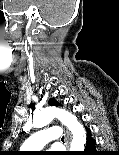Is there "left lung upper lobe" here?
<instances>
[{
  "mask_svg": "<svg viewBox=\"0 0 119 155\" xmlns=\"http://www.w3.org/2000/svg\"><path fill=\"white\" fill-rule=\"evenodd\" d=\"M50 105H58V103L56 102L55 99H50L49 102H48Z\"/></svg>",
  "mask_w": 119,
  "mask_h": 155,
  "instance_id": "5c2ea615",
  "label": "left lung upper lobe"
}]
</instances>
